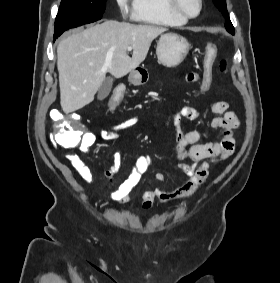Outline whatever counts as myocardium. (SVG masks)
I'll use <instances>...</instances> for the list:
<instances>
[{
    "label": "myocardium",
    "instance_id": "f54148a6",
    "mask_svg": "<svg viewBox=\"0 0 280 283\" xmlns=\"http://www.w3.org/2000/svg\"><path fill=\"white\" fill-rule=\"evenodd\" d=\"M169 3V7L170 9L176 13L177 15L185 18V19H194L196 17H198L202 10H203V0H198V11L195 14H191L189 12H187L185 9L182 8V6L180 5V1L179 0H168Z\"/></svg>",
    "mask_w": 280,
    "mask_h": 283
}]
</instances>
